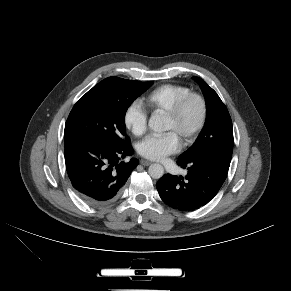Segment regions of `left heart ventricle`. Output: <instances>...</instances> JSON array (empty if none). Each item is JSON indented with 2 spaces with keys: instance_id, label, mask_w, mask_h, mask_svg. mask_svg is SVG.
Listing matches in <instances>:
<instances>
[{
  "instance_id": "1",
  "label": "left heart ventricle",
  "mask_w": 291,
  "mask_h": 291,
  "mask_svg": "<svg viewBox=\"0 0 291 291\" xmlns=\"http://www.w3.org/2000/svg\"><path fill=\"white\" fill-rule=\"evenodd\" d=\"M199 115V104L196 101H192L185 107L176 120L165 117L164 129L167 131H173L180 139H182L196 126Z\"/></svg>"
}]
</instances>
